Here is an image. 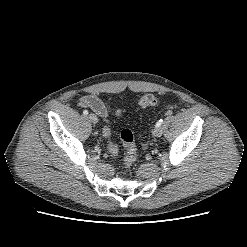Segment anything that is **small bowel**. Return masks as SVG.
Segmentation results:
<instances>
[{
    "instance_id": "small-bowel-1",
    "label": "small bowel",
    "mask_w": 247,
    "mask_h": 247,
    "mask_svg": "<svg viewBox=\"0 0 247 247\" xmlns=\"http://www.w3.org/2000/svg\"><path fill=\"white\" fill-rule=\"evenodd\" d=\"M82 107H88L93 110L97 115L106 117L109 114V106L107 103L99 99L95 95H86L80 99ZM115 154V153H113Z\"/></svg>"
}]
</instances>
